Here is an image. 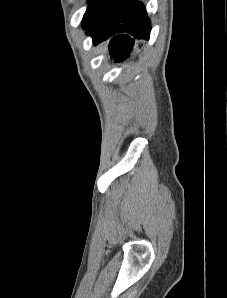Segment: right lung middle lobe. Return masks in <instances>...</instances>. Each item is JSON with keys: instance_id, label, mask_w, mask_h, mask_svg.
I'll list each match as a JSON object with an SVG mask.
<instances>
[{"instance_id": "right-lung-middle-lobe-1", "label": "right lung middle lobe", "mask_w": 227, "mask_h": 298, "mask_svg": "<svg viewBox=\"0 0 227 298\" xmlns=\"http://www.w3.org/2000/svg\"><path fill=\"white\" fill-rule=\"evenodd\" d=\"M112 1L113 0H90L87 11L83 17V28L85 29Z\"/></svg>"}]
</instances>
